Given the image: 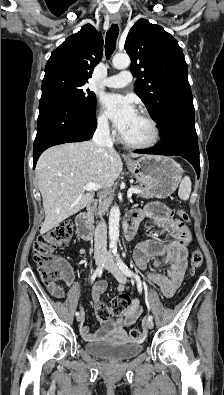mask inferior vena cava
I'll use <instances>...</instances> for the list:
<instances>
[{"label": "inferior vena cava", "instance_id": "inferior-vena-cava-1", "mask_svg": "<svg viewBox=\"0 0 224 395\" xmlns=\"http://www.w3.org/2000/svg\"><path fill=\"white\" fill-rule=\"evenodd\" d=\"M93 142L103 150L112 149L113 142L110 137V129L107 119L98 122L97 129L93 136ZM95 254L105 253L107 250V227L104 220L100 221L95 229Z\"/></svg>", "mask_w": 224, "mask_h": 395}]
</instances>
